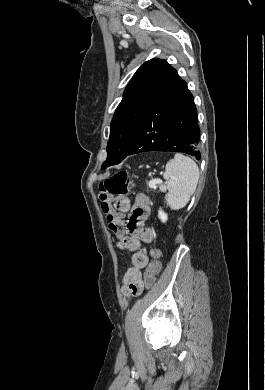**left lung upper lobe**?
I'll return each instance as SVG.
<instances>
[{
    "mask_svg": "<svg viewBox=\"0 0 265 390\" xmlns=\"http://www.w3.org/2000/svg\"><path fill=\"white\" fill-rule=\"evenodd\" d=\"M173 70L165 60L154 58L135 72L111 121L107 159L102 169L125 158L137 135L144 110Z\"/></svg>",
    "mask_w": 265,
    "mask_h": 390,
    "instance_id": "5c2ea615",
    "label": "left lung upper lobe"
}]
</instances>
